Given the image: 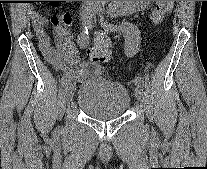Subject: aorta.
Segmentation results:
<instances>
[{
    "mask_svg": "<svg viewBox=\"0 0 207 169\" xmlns=\"http://www.w3.org/2000/svg\"><path fill=\"white\" fill-rule=\"evenodd\" d=\"M94 2L98 4H104L106 1H94ZM133 2L134 1H111V4L114 11L123 13L129 10V8H131Z\"/></svg>",
    "mask_w": 207,
    "mask_h": 169,
    "instance_id": "762f6f07",
    "label": "aorta"
}]
</instances>
